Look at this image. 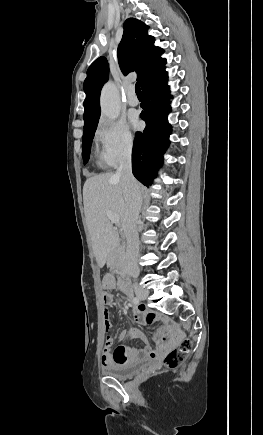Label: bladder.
I'll use <instances>...</instances> for the list:
<instances>
[{
    "label": "bladder",
    "mask_w": 263,
    "mask_h": 435,
    "mask_svg": "<svg viewBox=\"0 0 263 435\" xmlns=\"http://www.w3.org/2000/svg\"><path fill=\"white\" fill-rule=\"evenodd\" d=\"M148 360H140L128 364H116L104 368V373L116 379H127L138 373L146 364Z\"/></svg>",
    "instance_id": "31cf9c89"
}]
</instances>
